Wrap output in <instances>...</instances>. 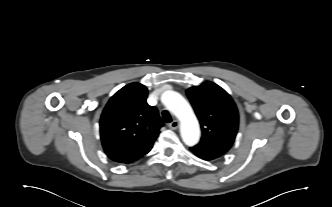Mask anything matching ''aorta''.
<instances>
[{
	"mask_svg": "<svg viewBox=\"0 0 332 207\" xmlns=\"http://www.w3.org/2000/svg\"><path fill=\"white\" fill-rule=\"evenodd\" d=\"M162 102L179 119L183 142L188 146L197 144L200 138V127L190 104L175 91L164 92Z\"/></svg>",
	"mask_w": 332,
	"mask_h": 207,
	"instance_id": "aorta-1",
	"label": "aorta"
}]
</instances>
